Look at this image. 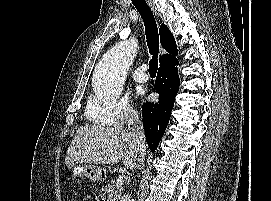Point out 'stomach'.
<instances>
[{
	"instance_id": "obj_1",
	"label": "stomach",
	"mask_w": 271,
	"mask_h": 201,
	"mask_svg": "<svg viewBox=\"0 0 271 201\" xmlns=\"http://www.w3.org/2000/svg\"><path fill=\"white\" fill-rule=\"evenodd\" d=\"M71 171L73 177H85L91 181H99L105 175L104 169L92 164L75 165L71 168Z\"/></svg>"
}]
</instances>
